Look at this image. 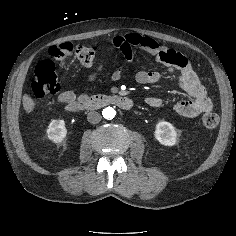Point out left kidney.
Here are the masks:
<instances>
[{
	"label": "left kidney",
	"mask_w": 236,
	"mask_h": 236,
	"mask_svg": "<svg viewBox=\"0 0 236 236\" xmlns=\"http://www.w3.org/2000/svg\"><path fill=\"white\" fill-rule=\"evenodd\" d=\"M177 135L178 134L174 126L169 122L162 121L156 125L154 136L162 145H175L177 141Z\"/></svg>",
	"instance_id": "obj_1"
}]
</instances>
